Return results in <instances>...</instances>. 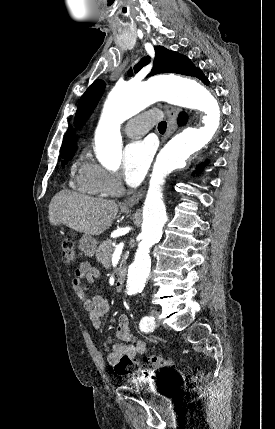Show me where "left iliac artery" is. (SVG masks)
<instances>
[{"label": "left iliac artery", "mask_w": 275, "mask_h": 429, "mask_svg": "<svg viewBox=\"0 0 275 429\" xmlns=\"http://www.w3.org/2000/svg\"><path fill=\"white\" fill-rule=\"evenodd\" d=\"M155 322L152 317L145 316L141 319L139 327L142 331L148 332L154 328Z\"/></svg>", "instance_id": "44dca946"}]
</instances>
